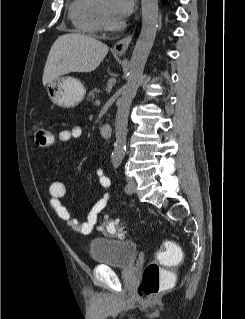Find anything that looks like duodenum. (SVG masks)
I'll return each mask as SVG.
<instances>
[{
	"label": "duodenum",
	"mask_w": 245,
	"mask_h": 319,
	"mask_svg": "<svg viewBox=\"0 0 245 319\" xmlns=\"http://www.w3.org/2000/svg\"><path fill=\"white\" fill-rule=\"evenodd\" d=\"M100 134L104 139H109L112 136V127L109 124L101 125Z\"/></svg>",
	"instance_id": "410a0bca"
}]
</instances>
